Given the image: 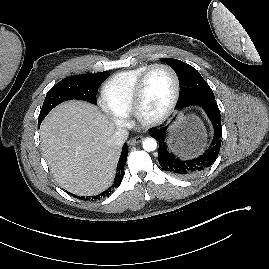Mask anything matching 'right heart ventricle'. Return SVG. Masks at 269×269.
Returning <instances> with one entry per match:
<instances>
[{"label":"right heart ventricle","instance_id":"1","mask_svg":"<svg viewBox=\"0 0 269 269\" xmlns=\"http://www.w3.org/2000/svg\"><path fill=\"white\" fill-rule=\"evenodd\" d=\"M148 66H139L114 74L102 88V99L106 107L123 116L131 113L135 85Z\"/></svg>","mask_w":269,"mask_h":269}]
</instances>
